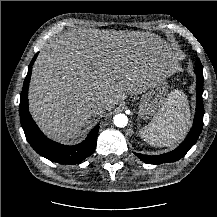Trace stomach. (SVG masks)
Here are the masks:
<instances>
[{"instance_id": "obj_1", "label": "stomach", "mask_w": 217, "mask_h": 217, "mask_svg": "<svg viewBox=\"0 0 217 217\" xmlns=\"http://www.w3.org/2000/svg\"><path fill=\"white\" fill-rule=\"evenodd\" d=\"M166 93L167 86L162 82L144 87L140 92L141 97L138 102L139 118L147 120L154 115L160 104L165 100Z\"/></svg>"}]
</instances>
